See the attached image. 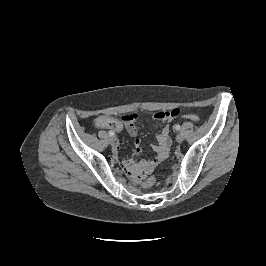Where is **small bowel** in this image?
<instances>
[{"mask_svg": "<svg viewBox=\"0 0 266 266\" xmlns=\"http://www.w3.org/2000/svg\"><path fill=\"white\" fill-rule=\"evenodd\" d=\"M178 115V109H171L156 113L155 119L159 123L164 124L172 121ZM137 118L138 116L136 114H126L121 120L107 116H99L95 120V125L99 128H110L117 131L125 128L130 136L136 138L138 135ZM170 145L171 139L169 135V127L168 125H164L161 132L157 135V144L154 146V151L156 153L155 157L149 161L123 160L121 164L123 170L135 180L142 179L167 157ZM135 152L136 154L141 152V141L138 138L135 139ZM118 153L119 145H116L114 147V154L117 155Z\"/></svg>", "mask_w": 266, "mask_h": 266, "instance_id": "small-bowel-1", "label": "small bowel"}]
</instances>
